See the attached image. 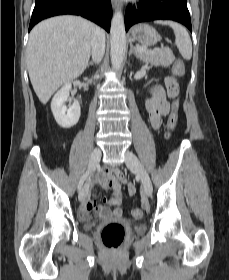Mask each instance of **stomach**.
I'll use <instances>...</instances> for the list:
<instances>
[{
  "label": "stomach",
  "mask_w": 229,
  "mask_h": 280,
  "mask_svg": "<svg viewBox=\"0 0 229 280\" xmlns=\"http://www.w3.org/2000/svg\"><path fill=\"white\" fill-rule=\"evenodd\" d=\"M131 35L134 40L138 41L146 47L155 45L160 39V36L156 29L148 24L136 25L132 29Z\"/></svg>",
  "instance_id": "0dacf381"
}]
</instances>
